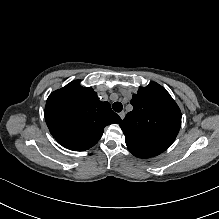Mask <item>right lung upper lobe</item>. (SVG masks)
I'll list each match as a JSON object with an SVG mask.
<instances>
[{"label":"right lung upper lobe","instance_id":"right-lung-upper-lobe-1","mask_svg":"<svg viewBox=\"0 0 219 219\" xmlns=\"http://www.w3.org/2000/svg\"><path fill=\"white\" fill-rule=\"evenodd\" d=\"M44 114L57 142L76 151L91 148L101 138L106 125L121 122L110 104L100 101L97 93L91 87H82L79 80L52 92Z\"/></svg>","mask_w":219,"mask_h":219}]
</instances>
